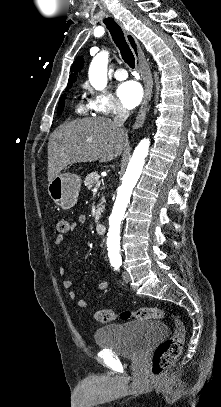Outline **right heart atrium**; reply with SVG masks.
<instances>
[{
  "label": "right heart atrium",
  "mask_w": 221,
  "mask_h": 407,
  "mask_svg": "<svg viewBox=\"0 0 221 407\" xmlns=\"http://www.w3.org/2000/svg\"><path fill=\"white\" fill-rule=\"evenodd\" d=\"M84 87L91 94L89 104L95 113L102 116H110L127 112V108L112 94L102 90L94 91L88 84Z\"/></svg>",
  "instance_id": "obj_1"
}]
</instances>
